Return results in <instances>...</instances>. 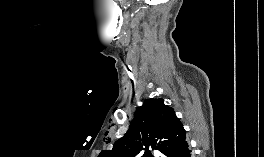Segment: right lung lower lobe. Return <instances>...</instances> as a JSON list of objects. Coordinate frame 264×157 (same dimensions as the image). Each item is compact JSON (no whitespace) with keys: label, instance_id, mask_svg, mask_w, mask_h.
Instances as JSON below:
<instances>
[{"label":"right lung lower lobe","instance_id":"98d812e1","mask_svg":"<svg viewBox=\"0 0 264 157\" xmlns=\"http://www.w3.org/2000/svg\"><path fill=\"white\" fill-rule=\"evenodd\" d=\"M167 157H193L188 142H183L178 148L172 151Z\"/></svg>","mask_w":264,"mask_h":157}]
</instances>
